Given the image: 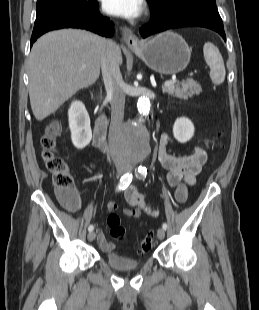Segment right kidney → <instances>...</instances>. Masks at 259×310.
<instances>
[{"label":"right kidney","mask_w":259,"mask_h":310,"mask_svg":"<svg viewBox=\"0 0 259 310\" xmlns=\"http://www.w3.org/2000/svg\"><path fill=\"white\" fill-rule=\"evenodd\" d=\"M68 116L72 143L76 148L83 149L92 139L90 118L84 104L80 101L72 102Z\"/></svg>","instance_id":"1"}]
</instances>
